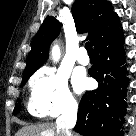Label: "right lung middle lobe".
Segmentation results:
<instances>
[{
  "instance_id": "obj_1",
  "label": "right lung middle lobe",
  "mask_w": 136,
  "mask_h": 136,
  "mask_svg": "<svg viewBox=\"0 0 136 136\" xmlns=\"http://www.w3.org/2000/svg\"><path fill=\"white\" fill-rule=\"evenodd\" d=\"M29 77L30 76H27V77H25V78L22 79L21 86H23L26 83V81L28 80ZM19 111H20V106L17 104L15 106V108H14L13 114H17Z\"/></svg>"
}]
</instances>
